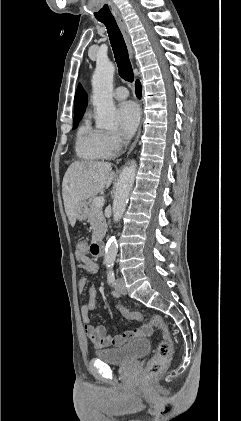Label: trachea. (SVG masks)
Segmentation results:
<instances>
[{"instance_id":"obj_1","label":"trachea","mask_w":241,"mask_h":421,"mask_svg":"<svg viewBox=\"0 0 241 421\" xmlns=\"http://www.w3.org/2000/svg\"><path fill=\"white\" fill-rule=\"evenodd\" d=\"M99 21L107 28L120 77L126 81L132 82L134 73L129 60L128 50L115 19H101Z\"/></svg>"}]
</instances>
